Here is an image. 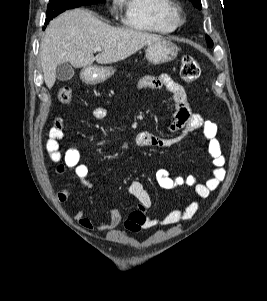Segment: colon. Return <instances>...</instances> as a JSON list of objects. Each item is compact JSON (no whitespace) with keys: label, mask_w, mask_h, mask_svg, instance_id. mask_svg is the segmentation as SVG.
I'll return each mask as SVG.
<instances>
[{"label":"colon","mask_w":267,"mask_h":301,"mask_svg":"<svg viewBox=\"0 0 267 301\" xmlns=\"http://www.w3.org/2000/svg\"><path fill=\"white\" fill-rule=\"evenodd\" d=\"M180 75L187 83L196 81L200 75V67L191 56H184L181 60ZM72 99V90L69 86H62L58 91V100L61 103H69Z\"/></svg>","instance_id":"colon-1"}]
</instances>
